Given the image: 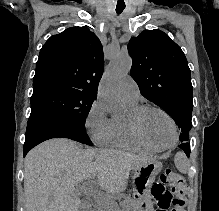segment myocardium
<instances>
[{
    "label": "myocardium",
    "mask_w": 219,
    "mask_h": 211,
    "mask_svg": "<svg viewBox=\"0 0 219 211\" xmlns=\"http://www.w3.org/2000/svg\"><path fill=\"white\" fill-rule=\"evenodd\" d=\"M151 110L158 111V112L162 113L170 121L172 128H173V131H174V141L172 144L165 146V147H159V146L154 145L145 135L143 128H142V118L147 111H151ZM127 120H128L129 127H130L131 131L133 132L134 136L141 143L152 148L153 150L165 151V150L171 149L174 146H176V144L178 142L179 133H178L177 124H176L174 118L165 109H163L159 106L150 105V104L136 106L135 108H133L130 111V113L127 117Z\"/></svg>",
    "instance_id": "f54148a6"
}]
</instances>
